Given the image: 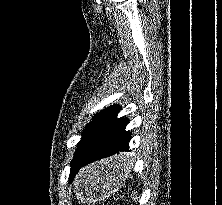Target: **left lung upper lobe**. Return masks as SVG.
<instances>
[{"label":"left lung upper lobe","mask_w":222,"mask_h":205,"mask_svg":"<svg viewBox=\"0 0 222 205\" xmlns=\"http://www.w3.org/2000/svg\"><path fill=\"white\" fill-rule=\"evenodd\" d=\"M115 108V106H111L103 111H101L99 114H97L91 123H89L86 127V129L83 132L82 138L78 143V149L75 152L73 161H79L83 157L87 155L89 150L94 145L102 127L105 123L106 119L111 114L112 110ZM72 170V167H71ZM71 175V171H70Z\"/></svg>","instance_id":"5c2ea615"}]
</instances>
